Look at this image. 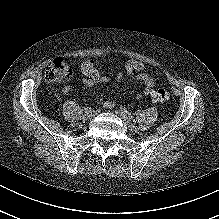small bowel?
I'll list each match as a JSON object with an SVG mask.
<instances>
[{
  "instance_id": "1",
  "label": "small bowel",
  "mask_w": 219,
  "mask_h": 219,
  "mask_svg": "<svg viewBox=\"0 0 219 219\" xmlns=\"http://www.w3.org/2000/svg\"><path fill=\"white\" fill-rule=\"evenodd\" d=\"M130 67H136L138 69L137 72L129 73L134 78L140 80L144 83V91L143 94H137L136 98L141 99L142 96L149 95L155 86L154 79L147 73L140 72L142 69V65L136 61H130L127 63L126 68ZM81 74L83 75L82 83L85 86L92 87L100 82H106L108 78L106 76H103L94 66V63L92 61H86L81 65ZM119 79L122 78V75L120 74L118 76ZM71 88L70 86L66 85L62 88V93L65 95L70 94ZM105 106L108 108H111L114 106V102L107 101L105 102Z\"/></svg>"
}]
</instances>
